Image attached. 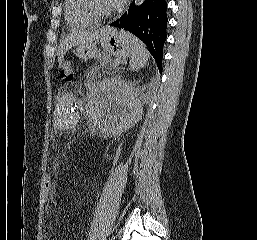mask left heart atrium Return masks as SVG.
Returning <instances> with one entry per match:
<instances>
[{
	"label": "left heart atrium",
	"instance_id": "obj_1",
	"mask_svg": "<svg viewBox=\"0 0 257 240\" xmlns=\"http://www.w3.org/2000/svg\"><path fill=\"white\" fill-rule=\"evenodd\" d=\"M125 0H110L111 7L117 9L123 6Z\"/></svg>",
	"mask_w": 257,
	"mask_h": 240
}]
</instances>
